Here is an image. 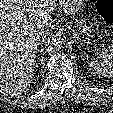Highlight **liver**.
Segmentation results:
<instances>
[{
  "label": "liver",
  "mask_w": 113,
  "mask_h": 113,
  "mask_svg": "<svg viewBox=\"0 0 113 113\" xmlns=\"http://www.w3.org/2000/svg\"><path fill=\"white\" fill-rule=\"evenodd\" d=\"M57 0H0V88L11 96L32 82L38 34L51 26Z\"/></svg>",
  "instance_id": "6515ba94"
}]
</instances>
